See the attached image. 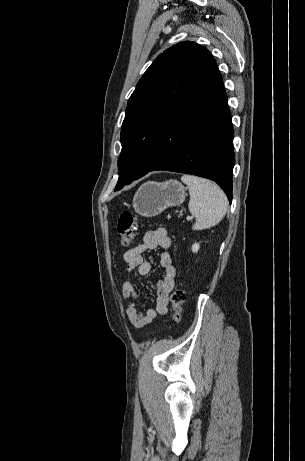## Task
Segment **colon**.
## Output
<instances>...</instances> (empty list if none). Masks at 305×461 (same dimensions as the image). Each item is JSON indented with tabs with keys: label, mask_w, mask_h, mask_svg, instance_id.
Here are the masks:
<instances>
[{
	"label": "colon",
	"mask_w": 305,
	"mask_h": 461,
	"mask_svg": "<svg viewBox=\"0 0 305 461\" xmlns=\"http://www.w3.org/2000/svg\"><path fill=\"white\" fill-rule=\"evenodd\" d=\"M139 227L138 217L129 211L122 212L118 219V236L123 246H129L134 239L135 233ZM185 300L183 289L176 288L170 295V301L173 307L172 319L179 321L182 314V306Z\"/></svg>",
	"instance_id": "5ec220e1"
}]
</instances>
